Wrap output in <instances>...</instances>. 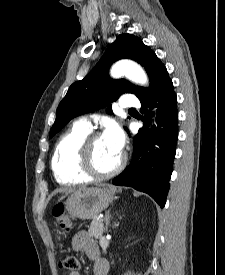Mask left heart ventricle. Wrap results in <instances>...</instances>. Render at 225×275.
Segmentation results:
<instances>
[{"label": "left heart ventricle", "mask_w": 225, "mask_h": 275, "mask_svg": "<svg viewBox=\"0 0 225 275\" xmlns=\"http://www.w3.org/2000/svg\"><path fill=\"white\" fill-rule=\"evenodd\" d=\"M121 154L114 152L102 137L92 144V159L94 168L101 173L114 169L120 160Z\"/></svg>", "instance_id": "left-heart-ventricle-1"}]
</instances>
